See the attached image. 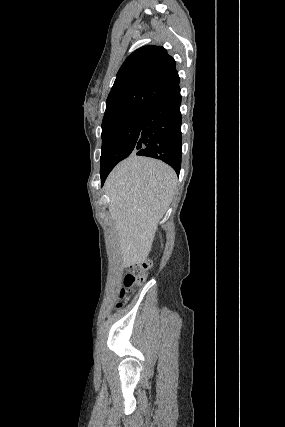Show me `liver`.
<instances>
[{
	"mask_svg": "<svg viewBox=\"0 0 285 427\" xmlns=\"http://www.w3.org/2000/svg\"><path fill=\"white\" fill-rule=\"evenodd\" d=\"M177 175L164 162L132 154L105 183L109 212L118 234L124 267L141 265L151 251L157 224L169 208Z\"/></svg>",
	"mask_w": 285,
	"mask_h": 427,
	"instance_id": "obj_1",
	"label": "liver"
}]
</instances>
